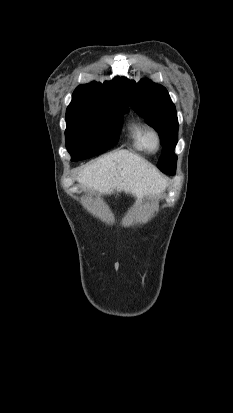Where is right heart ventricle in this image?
Masks as SVG:
<instances>
[{"mask_svg":"<svg viewBox=\"0 0 233 413\" xmlns=\"http://www.w3.org/2000/svg\"><path fill=\"white\" fill-rule=\"evenodd\" d=\"M128 138L132 146L139 151H148L146 124L135 116L129 117L126 124Z\"/></svg>","mask_w":233,"mask_h":413,"instance_id":"1","label":"right heart ventricle"}]
</instances>
